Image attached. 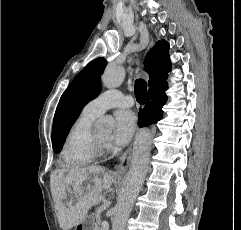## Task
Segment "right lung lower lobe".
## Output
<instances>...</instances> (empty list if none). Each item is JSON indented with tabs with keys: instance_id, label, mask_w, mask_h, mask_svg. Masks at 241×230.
<instances>
[{
	"instance_id": "right-lung-lower-lobe-1",
	"label": "right lung lower lobe",
	"mask_w": 241,
	"mask_h": 230,
	"mask_svg": "<svg viewBox=\"0 0 241 230\" xmlns=\"http://www.w3.org/2000/svg\"><path fill=\"white\" fill-rule=\"evenodd\" d=\"M167 76L149 87L145 107L138 114L139 126L144 127L158 122L163 117L162 106L167 101Z\"/></svg>"
}]
</instances>
